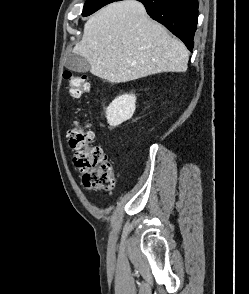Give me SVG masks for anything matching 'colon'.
I'll list each match as a JSON object with an SVG mask.
<instances>
[{
    "label": "colon",
    "instance_id": "1",
    "mask_svg": "<svg viewBox=\"0 0 249 294\" xmlns=\"http://www.w3.org/2000/svg\"><path fill=\"white\" fill-rule=\"evenodd\" d=\"M68 91L73 98L80 99L90 91V83L85 75L70 71L64 73ZM70 147L74 150V164L82 174L86 187L110 191L115 188L114 168L102 148L92 145L94 134L87 124L78 120L68 130Z\"/></svg>",
    "mask_w": 249,
    "mask_h": 294
}]
</instances>
